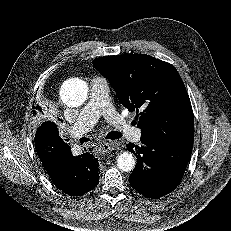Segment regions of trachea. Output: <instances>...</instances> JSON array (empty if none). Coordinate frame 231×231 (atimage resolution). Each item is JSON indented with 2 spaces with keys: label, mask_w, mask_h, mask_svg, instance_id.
Masks as SVG:
<instances>
[{
  "label": "trachea",
  "mask_w": 231,
  "mask_h": 231,
  "mask_svg": "<svg viewBox=\"0 0 231 231\" xmlns=\"http://www.w3.org/2000/svg\"><path fill=\"white\" fill-rule=\"evenodd\" d=\"M122 137V134L117 132V131H111L107 134L106 139H111V140H115V139H119Z\"/></svg>",
  "instance_id": "trachea-1"
}]
</instances>
